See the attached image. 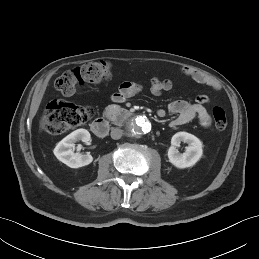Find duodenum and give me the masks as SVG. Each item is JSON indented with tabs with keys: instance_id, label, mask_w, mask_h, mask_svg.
Masks as SVG:
<instances>
[{
	"instance_id": "obj_1",
	"label": "duodenum",
	"mask_w": 259,
	"mask_h": 259,
	"mask_svg": "<svg viewBox=\"0 0 259 259\" xmlns=\"http://www.w3.org/2000/svg\"><path fill=\"white\" fill-rule=\"evenodd\" d=\"M110 111L116 116L130 117L132 113L125 109L112 107ZM91 130L98 137H104L109 132V123L105 118H97L91 123Z\"/></svg>"
}]
</instances>
